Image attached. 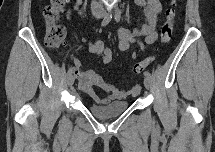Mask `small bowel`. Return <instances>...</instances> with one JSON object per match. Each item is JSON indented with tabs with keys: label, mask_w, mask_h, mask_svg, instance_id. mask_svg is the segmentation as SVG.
<instances>
[{
	"label": "small bowel",
	"mask_w": 215,
	"mask_h": 152,
	"mask_svg": "<svg viewBox=\"0 0 215 152\" xmlns=\"http://www.w3.org/2000/svg\"><path fill=\"white\" fill-rule=\"evenodd\" d=\"M136 4L144 8L146 23L131 32L128 29H118L116 34L119 42V49L126 51L135 42L137 36H142L147 44L154 43L157 38L156 28L158 24V16L161 12V3L159 0H136ZM75 7L74 10H77ZM73 10L67 11L68 18H72ZM88 50L92 54L98 55L103 63L109 64L113 61V52L108 49L102 40H96L88 44ZM133 59H137V55L133 54ZM78 69L77 78L80 88L88 94L94 101L98 103H106L111 100H120L129 95H137L140 90V84L133 85L130 89H119L105 80L94 70H80L81 63L75 61ZM96 88L102 89L106 95L100 96L96 93Z\"/></svg>",
	"instance_id": "1"
}]
</instances>
